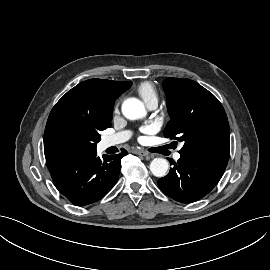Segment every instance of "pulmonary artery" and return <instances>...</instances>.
I'll list each match as a JSON object with an SVG mask.
<instances>
[{
    "mask_svg": "<svg viewBox=\"0 0 270 270\" xmlns=\"http://www.w3.org/2000/svg\"><path fill=\"white\" fill-rule=\"evenodd\" d=\"M157 105H158L157 99H153L147 103V107L149 109H155ZM130 136H131V133L129 131H122V132L105 137L103 140V145L105 148L115 146V145H118L127 141L130 138ZM179 158H180V153L176 152L174 154V159L178 160Z\"/></svg>",
    "mask_w": 270,
    "mask_h": 270,
    "instance_id": "e3ab8cb5",
    "label": "pulmonary artery"
}]
</instances>
